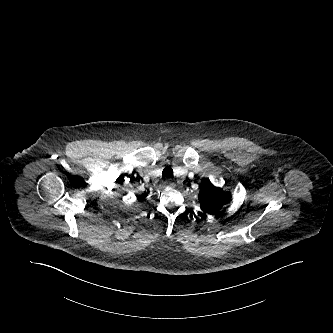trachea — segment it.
<instances>
[{"label": "trachea", "instance_id": "obj_1", "mask_svg": "<svg viewBox=\"0 0 333 333\" xmlns=\"http://www.w3.org/2000/svg\"><path fill=\"white\" fill-rule=\"evenodd\" d=\"M163 178H172L173 177V169L170 166H166L162 171Z\"/></svg>", "mask_w": 333, "mask_h": 333}]
</instances>
